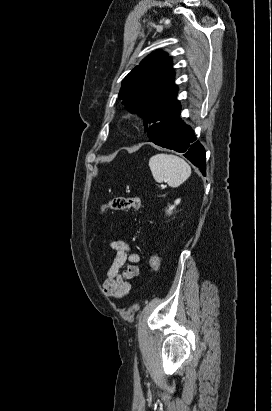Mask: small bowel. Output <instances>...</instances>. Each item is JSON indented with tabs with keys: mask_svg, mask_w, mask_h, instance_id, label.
<instances>
[{
	"mask_svg": "<svg viewBox=\"0 0 272 411\" xmlns=\"http://www.w3.org/2000/svg\"><path fill=\"white\" fill-rule=\"evenodd\" d=\"M110 248L115 251L111 266L107 271L103 289L106 296L120 302L131 290V281L139 275L140 256L123 240H113Z\"/></svg>",
	"mask_w": 272,
	"mask_h": 411,
	"instance_id": "small-bowel-1",
	"label": "small bowel"
}]
</instances>
